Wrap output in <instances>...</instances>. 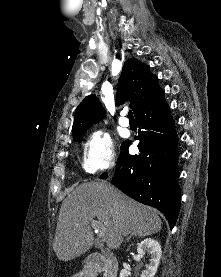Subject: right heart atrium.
I'll list each match as a JSON object with an SVG mask.
<instances>
[{
  "label": "right heart atrium",
  "instance_id": "obj_1",
  "mask_svg": "<svg viewBox=\"0 0 221 277\" xmlns=\"http://www.w3.org/2000/svg\"><path fill=\"white\" fill-rule=\"evenodd\" d=\"M114 161L115 151L110 134L101 129L93 131L84 146V170L93 174L111 167Z\"/></svg>",
  "mask_w": 221,
  "mask_h": 277
}]
</instances>
